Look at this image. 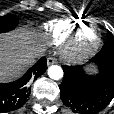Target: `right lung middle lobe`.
Masks as SVG:
<instances>
[{
  "instance_id": "dd1d6c3e",
  "label": "right lung middle lobe",
  "mask_w": 114,
  "mask_h": 114,
  "mask_svg": "<svg viewBox=\"0 0 114 114\" xmlns=\"http://www.w3.org/2000/svg\"><path fill=\"white\" fill-rule=\"evenodd\" d=\"M17 20L10 15L0 17V32H7L15 28Z\"/></svg>"
}]
</instances>
